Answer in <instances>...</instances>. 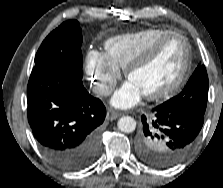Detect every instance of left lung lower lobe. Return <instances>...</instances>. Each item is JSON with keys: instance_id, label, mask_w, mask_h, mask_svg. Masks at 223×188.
I'll return each mask as SVG.
<instances>
[{"instance_id": "obj_1", "label": "left lung lower lobe", "mask_w": 223, "mask_h": 188, "mask_svg": "<svg viewBox=\"0 0 223 188\" xmlns=\"http://www.w3.org/2000/svg\"><path fill=\"white\" fill-rule=\"evenodd\" d=\"M150 119L142 116L143 127L138 135V154L158 161L169 167L183 160L193 149L204 118L186 112H168L161 106L152 111ZM158 139L164 155L151 151L148 139Z\"/></svg>"}]
</instances>
